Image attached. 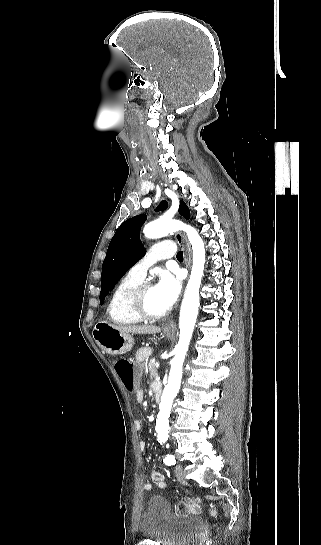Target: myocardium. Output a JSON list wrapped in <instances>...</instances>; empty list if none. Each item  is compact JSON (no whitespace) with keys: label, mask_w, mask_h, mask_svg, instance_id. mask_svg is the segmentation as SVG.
Instances as JSON below:
<instances>
[{"label":"myocardium","mask_w":321,"mask_h":545,"mask_svg":"<svg viewBox=\"0 0 321 545\" xmlns=\"http://www.w3.org/2000/svg\"><path fill=\"white\" fill-rule=\"evenodd\" d=\"M151 285L146 282H141L135 286L128 295L127 309L128 312L140 321H157L167 315V313L155 314L148 312L142 305V296Z\"/></svg>","instance_id":"1"}]
</instances>
